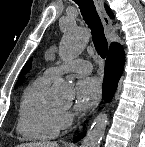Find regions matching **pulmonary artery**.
I'll list each match as a JSON object with an SVG mask.
<instances>
[{
  "label": "pulmonary artery",
  "instance_id": "pulmonary-artery-1",
  "mask_svg": "<svg viewBox=\"0 0 145 147\" xmlns=\"http://www.w3.org/2000/svg\"><path fill=\"white\" fill-rule=\"evenodd\" d=\"M92 70L90 62L82 59H73L59 66H52L45 70L44 75L49 79H54L57 76L67 72L89 73Z\"/></svg>",
  "mask_w": 145,
  "mask_h": 147
}]
</instances>
